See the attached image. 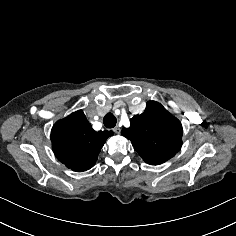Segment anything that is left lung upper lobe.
Instances as JSON below:
<instances>
[{
	"mask_svg": "<svg viewBox=\"0 0 236 236\" xmlns=\"http://www.w3.org/2000/svg\"><path fill=\"white\" fill-rule=\"evenodd\" d=\"M121 134L128 138L142 159L158 165L172 158L182 146L180 121L160 103L149 101L145 111L134 116Z\"/></svg>",
	"mask_w": 236,
	"mask_h": 236,
	"instance_id": "left-lung-upper-lobe-1",
	"label": "left lung upper lobe"
}]
</instances>
